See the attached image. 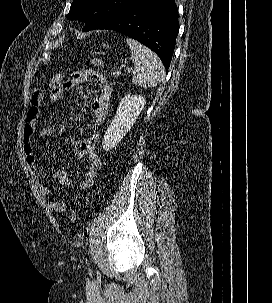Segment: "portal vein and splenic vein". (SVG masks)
<instances>
[{
    "mask_svg": "<svg viewBox=\"0 0 272 303\" xmlns=\"http://www.w3.org/2000/svg\"><path fill=\"white\" fill-rule=\"evenodd\" d=\"M126 69H127V71H129V72L132 71V68H130V67H127Z\"/></svg>",
    "mask_w": 272,
    "mask_h": 303,
    "instance_id": "18ae733b",
    "label": "portal vein and splenic vein"
}]
</instances>
